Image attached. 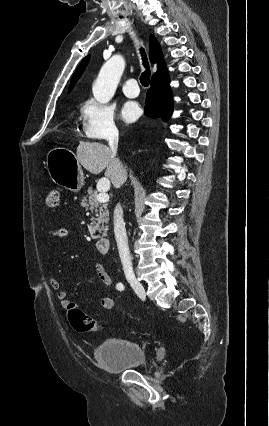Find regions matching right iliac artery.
Wrapping results in <instances>:
<instances>
[{
  "mask_svg": "<svg viewBox=\"0 0 269 426\" xmlns=\"http://www.w3.org/2000/svg\"><path fill=\"white\" fill-rule=\"evenodd\" d=\"M123 288H124V286H123L122 284H120V283H119V284L117 285V289H123Z\"/></svg>",
  "mask_w": 269,
  "mask_h": 426,
  "instance_id": "obj_1",
  "label": "right iliac artery"
}]
</instances>
